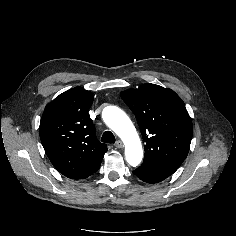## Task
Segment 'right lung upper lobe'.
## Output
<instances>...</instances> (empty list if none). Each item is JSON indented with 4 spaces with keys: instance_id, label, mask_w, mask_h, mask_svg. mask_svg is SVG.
I'll return each instance as SVG.
<instances>
[{
    "instance_id": "cb5924a9",
    "label": "right lung upper lobe",
    "mask_w": 236,
    "mask_h": 236,
    "mask_svg": "<svg viewBox=\"0 0 236 236\" xmlns=\"http://www.w3.org/2000/svg\"><path fill=\"white\" fill-rule=\"evenodd\" d=\"M92 103L89 91L72 88L47 104L40 121L39 135L49 160L70 179H85L95 173L107 152L88 114Z\"/></svg>"
}]
</instances>
